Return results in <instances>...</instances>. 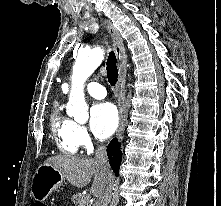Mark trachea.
<instances>
[{"label":"trachea","mask_w":221,"mask_h":206,"mask_svg":"<svg viewBox=\"0 0 221 206\" xmlns=\"http://www.w3.org/2000/svg\"><path fill=\"white\" fill-rule=\"evenodd\" d=\"M107 78L111 86H115L118 81V69L116 56L113 51H110L106 62Z\"/></svg>","instance_id":"trachea-1"}]
</instances>
